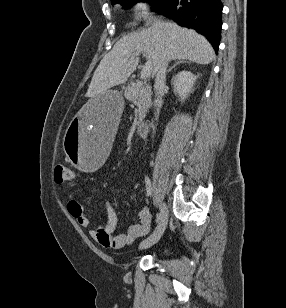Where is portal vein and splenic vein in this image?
Masks as SVG:
<instances>
[{
  "label": "portal vein and splenic vein",
  "mask_w": 286,
  "mask_h": 308,
  "mask_svg": "<svg viewBox=\"0 0 286 308\" xmlns=\"http://www.w3.org/2000/svg\"><path fill=\"white\" fill-rule=\"evenodd\" d=\"M141 51H137L134 53V56H139ZM152 70V62L147 61L145 65L143 66V69L141 71V79H146L150 76Z\"/></svg>",
  "instance_id": "1"
}]
</instances>
